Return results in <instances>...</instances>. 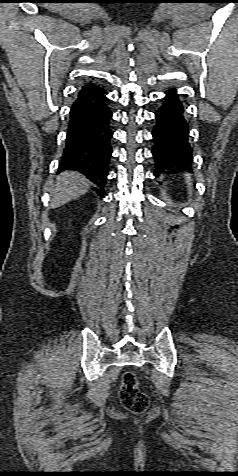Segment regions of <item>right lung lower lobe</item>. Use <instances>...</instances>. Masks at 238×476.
Instances as JSON below:
<instances>
[{"instance_id": "1", "label": "right lung lower lobe", "mask_w": 238, "mask_h": 476, "mask_svg": "<svg viewBox=\"0 0 238 476\" xmlns=\"http://www.w3.org/2000/svg\"><path fill=\"white\" fill-rule=\"evenodd\" d=\"M107 92L91 83L82 89L70 113L65 149L58 172L79 171L93 181L104 193L108 164L112 155V112Z\"/></svg>"}]
</instances>
